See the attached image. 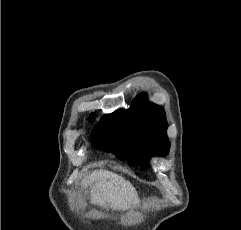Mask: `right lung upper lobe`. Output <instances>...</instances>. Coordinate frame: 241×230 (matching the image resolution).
I'll list each match as a JSON object with an SVG mask.
<instances>
[{
    "instance_id": "cb5924a9",
    "label": "right lung upper lobe",
    "mask_w": 241,
    "mask_h": 230,
    "mask_svg": "<svg viewBox=\"0 0 241 230\" xmlns=\"http://www.w3.org/2000/svg\"><path fill=\"white\" fill-rule=\"evenodd\" d=\"M94 117V113L90 114V120Z\"/></svg>"
}]
</instances>
